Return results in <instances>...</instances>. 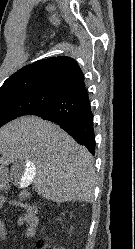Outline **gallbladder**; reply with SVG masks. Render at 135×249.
Wrapping results in <instances>:
<instances>
[{"label":"gallbladder","mask_w":135,"mask_h":249,"mask_svg":"<svg viewBox=\"0 0 135 249\" xmlns=\"http://www.w3.org/2000/svg\"><path fill=\"white\" fill-rule=\"evenodd\" d=\"M25 169V164L24 162H14L13 165L11 166V171H10V178L11 180H14V183L16 185L19 184V180L22 177ZM5 180L0 178V184H2Z\"/></svg>","instance_id":"gallbladder-1"}]
</instances>
